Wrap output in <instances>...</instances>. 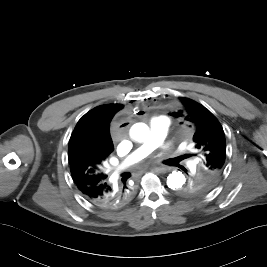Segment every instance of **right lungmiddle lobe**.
I'll return each instance as SVG.
<instances>
[{"label":"right lung middle lobe","instance_id":"1","mask_svg":"<svg viewBox=\"0 0 267 267\" xmlns=\"http://www.w3.org/2000/svg\"><path fill=\"white\" fill-rule=\"evenodd\" d=\"M102 165L91 156L84 158L75 170L76 179L80 183H86L100 177L104 174Z\"/></svg>","mask_w":267,"mask_h":267}]
</instances>
